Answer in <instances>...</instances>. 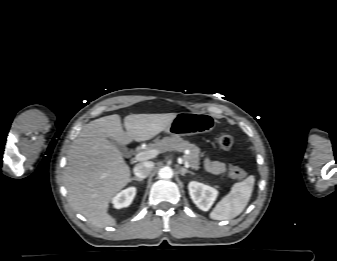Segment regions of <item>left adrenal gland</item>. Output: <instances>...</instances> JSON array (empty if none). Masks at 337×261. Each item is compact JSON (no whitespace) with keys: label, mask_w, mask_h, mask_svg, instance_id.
Masks as SVG:
<instances>
[{"label":"left adrenal gland","mask_w":337,"mask_h":261,"mask_svg":"<svg viewBox=\"0 0 337 261\" xmlns=\"http://www.w3.org/2000/svg\"><path fill=\"white\" fill-rule=\"evenodd\" d=\"M179 170H180V174H181L182 176H184L186 173H190V174H192V175L194 174L192 171L187 170V169L184 168V167H180Z\"/></svg>","instance_id":"1"}]
</instances>
